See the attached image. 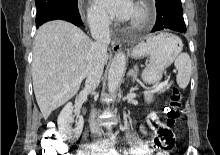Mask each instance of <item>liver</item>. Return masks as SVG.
Masks as SVG:
<instances>
[{"label":"liver","mask_w":220,"mask_h":155,"mask_svg":"<svg viewBox=\"0 0 220 155\" xmlns=\"http://www.w3.org/2000/svg\"><path fill=\"white\" fill-rule=\"evenodd\" d=\"M92 43L81 29L61 20L47 22L36 32L32 79L44 119L78 92Z\"/></svg>","instance_id":"6515ba94"}]
</instances>
